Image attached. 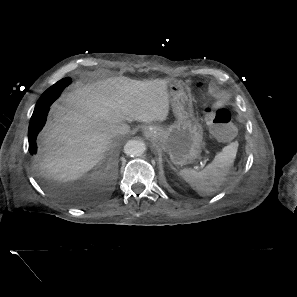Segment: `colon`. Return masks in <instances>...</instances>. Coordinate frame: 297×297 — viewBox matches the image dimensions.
<instances>
[{
    "label": "colon",
    "instance_id": "5ec220e1",
    "mask_svg": "<svg viewBox=\"0 0 297 297\" xmlns=\"http://www.w3.org/2000/svg\"><path fill=\"white\" fill-rule=\"evenodd\" d=\"M196 88L202 90L203 84L197 83ZM206 118L215 137L221 140H229L233 137L235 128L231 123V114L228 109H206Z\"/></svg>",
    "mask_w": 297,
    "mask_h": 297
}]
</instances>
